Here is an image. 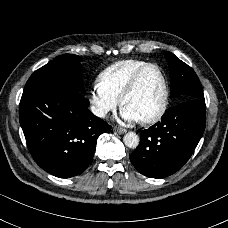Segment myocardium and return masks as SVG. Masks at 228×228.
Instances as JSON below:
<instances>
[{
    "label": "myocardium",
    "instance_id": "obj_1",
    "mask_svg": "<svg viewBox=\"0 0 228 228\" xmlns=\"http://www.w3.org/2000/svg\"><path fill=\"white\" fill-rule=\"evenodd\" d=\"M152 68L156 69L160 73V75L163 79L164 94H165L164 102H163V105L160 108V110L155 115H153L149 118H146V119L139 120V122L142 124H153V123L160 121L168 110L169 103H170V87H169L167 75H166L165 71L163 70V68L156 63H149V64L145 65L144 67H142L141 69H139L132 77L130 83L128 84V86L126 87V89L124 90V92L120 98V104L122 107H124V104H125L127 98L130 95H132L138 88V85H139L140 80L143 77V75Z\"/></svg>",
    "mask_w": 228,
    "mask_h": 228
}]
</instances>
